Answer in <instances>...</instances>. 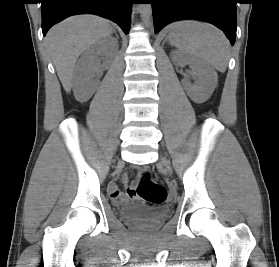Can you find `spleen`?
Here are the masks:
<instances>
[{"label":"spleen","mask_w":279,"mask_h":267,"mask_svg":"<svg viewBox=\"0 0 279 267\" xmlns=\"http://www.w3.org/2000/svg\"><path fill=\"white\" fill-rule=\"evenodd\" d=\"M169 41L182 52L225 72L229 60V41L216 27L199 21L173 23Z\"/></svg>","instance_id":"1"}]
</instances>
